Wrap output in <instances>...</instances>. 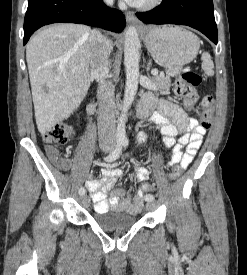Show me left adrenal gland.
<instances>
[{"mask_svg": "<svg viewBox=\"0 0 247 275\" xmlns=\"http://www.w3.org/2000/svg\"><path fill=\"white\" fill-rule=\"evenodd\" d=\"M150 67H151V60H149V62L147 64V68H146L147 72H149ZM148 76H149V73H148Z\"/></svg>", "mask_w": 247, "mask_h": 275, "instance_id": "left-adrenal-gland-1", "label": "left adrenal gland"}]
</instances>
